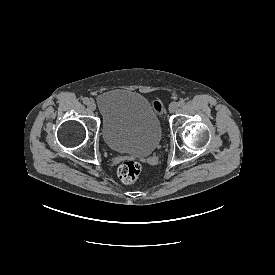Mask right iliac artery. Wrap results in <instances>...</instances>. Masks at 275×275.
Here are the masks:
<instances>
[{
    "label": "right iliac artery",
    "mask_w": 275,
    "mask_h": 275,
    "mask_svg": "<svg viewBox=\"0 0 275 275\" xmlns=\"http://www.w3.org/2000/svg\"><path fill=\"white\" fill-rule=\"evenodd\" d=\"M91 102V100L87 97L83 98V103L86 105H89V103Z\"/></svg>",
    "instance_id": "obj_1"
}]
</instances>
